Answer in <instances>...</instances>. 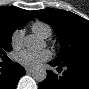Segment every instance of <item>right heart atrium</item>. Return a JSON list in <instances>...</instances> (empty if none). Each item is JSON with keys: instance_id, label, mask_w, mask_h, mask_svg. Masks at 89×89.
Returning a JSON list of instances; mask_svg holds the SVG:
<instances>
[{"instance_id": "d8ad5b80", "label": "right heart atrium", "mask_w": 89, "mask_h": 89, "mask_svg": "<svg viewBox=\"0 0 89 89\" xmlns=\"http://www.w3.org/2000/svg\"><path fill=\"white\" fill-rule=\"evenodd\" d=\"M22 41H23V31L22 30H17L13 33L11 37V44L13 48L18 49L22 46Z\"/></svg>"}]
</instances>
